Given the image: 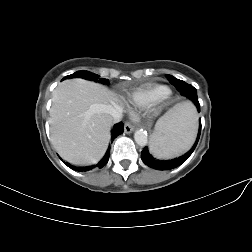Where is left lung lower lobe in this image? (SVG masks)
I'll return each mask as SVG.
<instances>
[{
  "mask_svg": "<svg viewBox=\"0 0 252 252\" xmlns=\"http://www.w3.org/2000/svg\"><path fill=\"white\" fill-rule=\"evenodd\" d=\"M174 86L179 90V92L183 96H186L189 99H191L197 106L198 111H200V104L198 102L197 91L192 85L187 84L186 82L180 80L179 82L174 83ZM200 133H201V123H200L198 136H197L194 146L190 149V151H188L186 154H184L181 157L171 159V160H157L150 154V151L148 150V148L145 147L142 151L141 159L147 166L157 169V170H170L175 167H178L189 158V156L192 154V152L196 148L197 143L200 138Z\"/></svg>",
  "mask_w": 252,
  "mask_h": 252,
  "instance_id": "0a47b994",
  "label": "left lung lower lobe"
}]
</instances>
